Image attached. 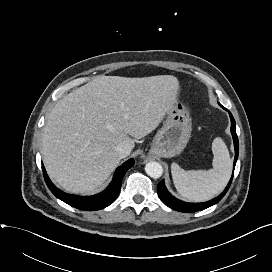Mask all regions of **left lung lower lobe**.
Segmentation results:
<instances>
[{
  "instance_id": "obj_1",
  "label": "left lung lower lobe",
  "mask_w": 272,
  "mask_h": 272,
  "mask_svg": "<svg viewBox=\"0 0 272 272\" xmlns=\"http://www.w3.org/2000/svg\"><path fill=\"white\" fill-rule=\"evenodd\" d=\"M222 108H224L222 105H220ZM226 109V108H224ZM230 118H231V133L233 136V140H234V147H235V159H234V168H235V164L238 158V153H239V143H238V137L236 134V129H235V120L232 116V114L228 111ZM233 179V174L232 177L227 185V187L225 188V190L216 198L204 202V203H186L183 201L178 200L177 198H175L174 196H172L168 190L165 187L164 184V180H162L158 186H157V192H158V196L159 198L162 200V202L170 207L173 210L176 211H180V212H195V211H200L203 209H206L216 203H218L223 196L226 194V192L228 191L230 184L232 182Z\"/></svg>"
}]
</instances>
